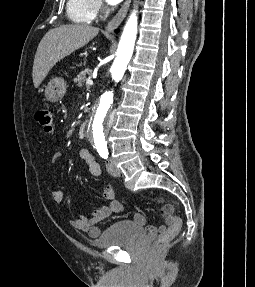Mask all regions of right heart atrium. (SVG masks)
<instances>
[{
  "label": "right heart atrium",
  "mask_w": 255,
  "mask_h": 287,
  "mask_svg": "<svg viewBox=\"0 0 255 287\" xmlns=\"http://www.w3.org/2000/svg\"><path fill=\"white\" fill-rule=\"evenodd\" d=\"M147 33H152V32H147ZM146 39H152V38H146Z\"/></svg>",
  "instance_id": "obj_1"
}]
</instances>
